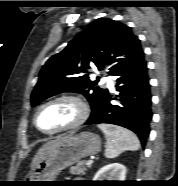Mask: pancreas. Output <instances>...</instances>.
<instances>
[{"label": "pancreas", "instance_id": "1", "mask_svg": "<svg viewBox=\"0 0 178 186\" xmlns=\"http://www.w3.org/2000/svg\"><path fill=\"white\" fill-rule=\"evenodd\" d=\"M87 168H90V166L86 167L85 161H80L75 166L70 168V173L72 175H84Z\"/></svg>", "mask_w": 178, "mask_h": 186}]
</instances>
